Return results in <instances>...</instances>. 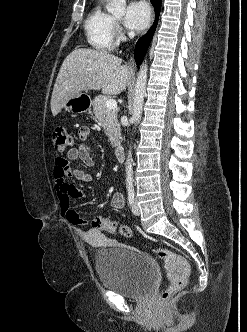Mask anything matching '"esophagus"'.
<instances>
[{"mask_svg":"<svg viewBox=\"0 0 247 332\" xmlns=\"http://www.w3.org/2000/svg\"><path fill=\"white\" fill-rule=\"evenodd\" d=\"M154 22H155V13L153 11L148 29H150L153 26ZM133 62H134V60H133V58H131L130 59V64H132Z\"/></svg>","mask_w":247,"mask_h":332,"instance_id":"34e87169","label":"esophagus"}]
</instances>
